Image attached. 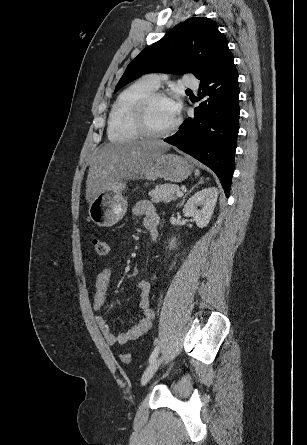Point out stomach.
I'll use <instances>...</instances> for the list:
<instances>
[{"mask_svg":"<svg viewBox=\"0 0 307 445\" xmlns=\"http://www.w3.org/2000/svg\"><path fill=\"white\" fill-rule=\"evenodd\" d=\"M193 170L192 164L187 158L177 154H160L150 168L144 172L147 180H156L163 176L171 182H181L188 178ZM127 188V180H117L107 190L100 192L90 202L89 216L98 227H114L123 218L127 208V198L123 196V190Z\"/></svg>","mask_w":307,"mask_h":445,"instance_id":"0dacf381","label":"stomach"}]
</instances>
